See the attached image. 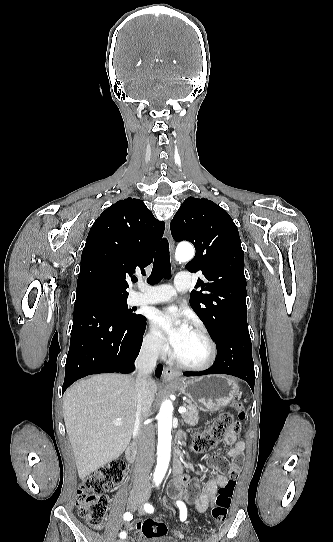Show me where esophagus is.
Instances as JSON below:
<instances>
[{"label":"esophagus","mask_w":333,"mask_h":542,"mask_svg":"<svg viewBox=\"0 0 333 542\" xmlns=\"http://www.w3.org/2000/svg\"><path fill=\"white\" fill-rule=\"evenodd\" d=\"M166 236H167V238L169 240L170 251L173 254L174 253V242H173V240L171 238V234H170L169 221L166 222ZM173 267L175 268L176 264H173ZM180 376H181V371L180 370H177L174 367H169V366L165 367L164 370H163V373H162L163 379H165L167 381H173V380L179 378Z\"/></svg>","instance_id":"esophagus-1"}]
</instances>
